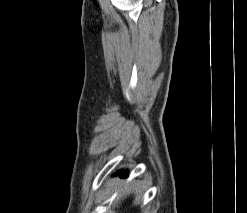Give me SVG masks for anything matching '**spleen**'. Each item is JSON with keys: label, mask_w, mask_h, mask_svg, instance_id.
Masks as SVG:
<instances>
[{"label": "spleen", "mask_w": 247, "mask_h": 213, "mask_svg": "<svg viewBox=\"0 0 247 213\" xmlns=\"http://www.w3.org/2000/svg\"><path fill=\"white\" fill-rule=\"evenodd\" d=\"M135 187L138 188L139 187L138 184Z\"/></svg>", "instance_id": "obj_1"}]
</instances>
